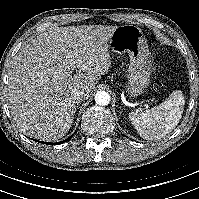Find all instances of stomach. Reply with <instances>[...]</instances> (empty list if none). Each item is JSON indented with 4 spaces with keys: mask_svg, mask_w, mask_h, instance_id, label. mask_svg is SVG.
<instances>
[{
    "mask_svg": "<svg viewBox=\"0 0 199 199\" xmlns=\"http://www.w3.org/2000/svg\"><path fill=\"white\" fill-rule=\"evenodd\" d=\"M108 48L118 54L128 53L127 92L130 98L141 95L152 72L148 44L142 30L134 25L118 26L109 39Z\"/></svg>",
    "mask_w": 199,
    "mask_h": 199,
    "instance_id": "0dacf381",
    "label": "stomach"
}]
</instances>
